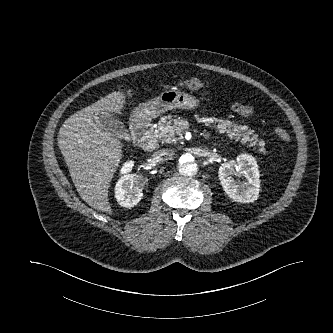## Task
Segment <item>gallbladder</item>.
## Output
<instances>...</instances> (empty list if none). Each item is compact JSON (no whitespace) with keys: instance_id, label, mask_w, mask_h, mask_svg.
<instances>
[{"instance_id":"bac80fb5","label":"gallbladder","mask_w":333,"mask_h":333,"mask_svg":"<svg viewBox=\"0 0 333 333\" xmlns=\"http://www.w3.org/2000/svg\"><path fill=\"white\" fill-rule=\"evenodd\" d=\"M96 122L103 131L118 139H127L129 137L124 124L110 113H99L96 115Z\"/></svg>"}]
</instances>
